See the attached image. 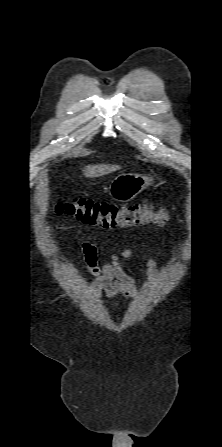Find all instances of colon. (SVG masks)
<instances>
[{
	"label": "colon",
	"mask_w": 222,
	"mask_h": 447,
	"mask_svg": "<svg viewBox=\"0 0 222 447\" xmlns=\"http://www.w3.org/2000/svg\"><path fill=\"white\" fill-rule=\"evenodd\" d=\"M60 214L72 216L84 224L109 229L136 227L148 223L164 226L170 219L166 209L155 210L138 203L118 206L114 203L76 198L58 205Z\"/></svg>",
	"instance_id": "obj_1"
}]
</instances>
